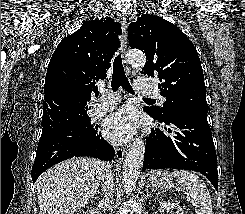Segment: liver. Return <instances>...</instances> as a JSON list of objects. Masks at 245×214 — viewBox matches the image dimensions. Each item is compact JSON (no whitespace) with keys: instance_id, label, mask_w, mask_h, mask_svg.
I'll return each mask as SVG.
<instances>
[{"instance_id":"obj_1","label":"liver","mask_w":245,"mask_h":214,"mask_svg":"<svg viewBox=\"0 0 245 214\" xmlns=\"http://www.w3.org/2000/svg\"><path fill=\"white\" fill-rule=\"evenodd\" d=\"M109 164L73 158L44 172L37 181L40 214H74L94 197Z\"/></svg>"}]
</instances>
